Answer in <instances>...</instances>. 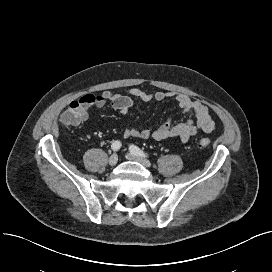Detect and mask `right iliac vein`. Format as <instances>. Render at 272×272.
Returning a JSON list of instances; mask_svg holds the SVG:
<instances>
[{
  "instance_id": "right-iliac-vein-1",
  "label": "right iliac vein",
  "mask_w": 272,
  "mask_h": 272,
  "mask_svg": "<svg viewBox=\"0 0 272 272\" xmlns=\"http://www.w3.org/2000/svg\"><path fill=\"white\" fill-rule=\"evenodd\" d=\"M110 166H115L118 162L117 154H112L108 160Z\"/></svg>"
}]
</instances>
